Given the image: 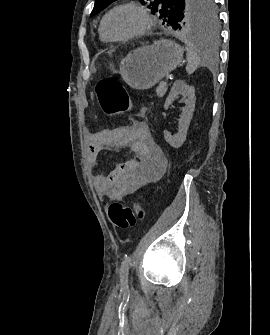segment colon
Listing matches in <instances>:
<instances>
[{
  "label": "colon",
  "instance_id": "colon-1",
  "mask_svg": "<svg viewBox=\"0 0 270 335\" xmlns=\"http://www.w3.org/2000/svg\"><path fill=\"white\" fill-rule=\"evenodd\" d=\"M99 104L103 111L114 114L126 112L131 107V99L121 81L107 78L95 86ZM147 211L141 202L126 205L120 201H112L108 206V218L118 229L124 230L142 222Z\"/></svg>",
  "mask_w": 270,
  "mask_h": 335
}]
</instances>
